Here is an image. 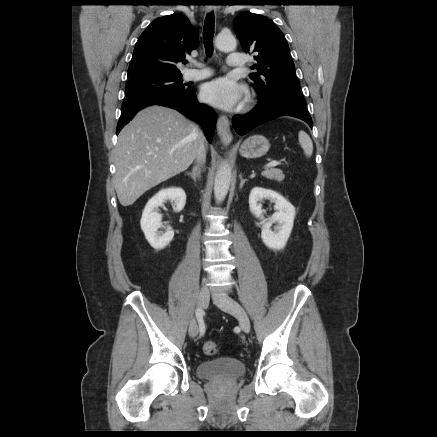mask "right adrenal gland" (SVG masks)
Instances as JSON below:
<instances>
[{
	"mask_svg": "<svg viewBox=\"0 0 437 437\" xmlns=\"http://www.w3.org/2000/svg\"><path fill=\"white\" fill-rule=\"evenodd\" d=\"M186 174L188 176H190L194 182H196L197 178H200V174H201V166L200 164H196L193 169L192 172H186Z\"/></svg>",
	"mask_w": 437,
	"mask_h": 437,
	"instance_id": "obj_1",
	"label": "right adrenal gland"
}]
</instances>
